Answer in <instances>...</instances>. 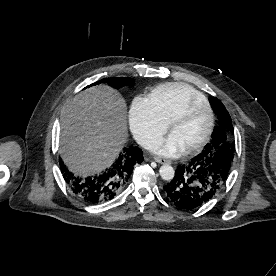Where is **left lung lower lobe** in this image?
I'll return each mask as SVG.
<instances>
[{
	"mask_svg": "<svg viewBox=\"0 0 276 276\" xmlns=\"http://www.w3.org/2000/svg\"><path fill=\"white\" fill-rule=\"evenodd\" d=\"M221 180L210 159L199 154L177 167L174 178L164 186V190L177 207L196 209L219 192Z\"/></svg>",
	"mask_w": 276,
	"mask_h": 276,
	"instance_id": "0a47b994",
	"label": "left lung lower lobe"
}]
</instances>
